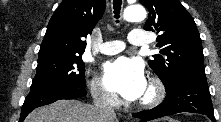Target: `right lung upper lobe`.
Returning <instances> with one entry per match:
<instances>
[{
  "label": "right lung upper lobe",
  "instance_id": "cb5924a9",
  "mask_svg": "<svg viewBox=\"0 0 221 122\" xmlns=\"http://www.w3.org/2000/svg\"><path fill=\"white\" fill-rule=\"evenodd\" d=\"M105 0H63L50 19L39 50V59L82 55L84 38L101 19Z\"/></svg>",
  "mask_w": 221,
  "mask_h": 122
}]
</instances>
